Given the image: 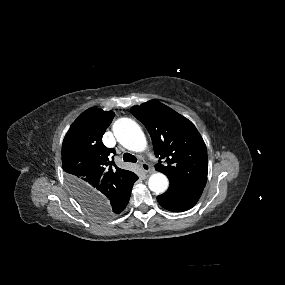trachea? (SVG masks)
<instances>
[{
  "mask_svg": "<svg viewBox=\"0 0 285 285\" xmlns=\"http://www.w3.org/2000/svg\"><path fill=\"white\" fill-rule=\"evenodd\" d=\"M123 161L124 162L136 163L137 162V158L134 155L130 154V153H125L123 155Z\"/></svg>",
  "mask_w": 285,
  "mask_h": 285,
  "instance_id": "1",
  "label": "trachea"
}]
</instances>
